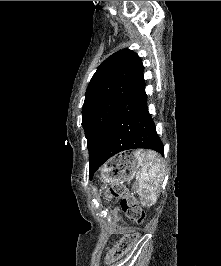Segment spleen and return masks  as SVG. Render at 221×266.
Segmentation results:
<instances>
[{"label": "spleen", "instance_id": "1", "mask_svg": "<svg viewBox=\"0 0 221 266\" xmlns=\"http://www.w3.org/2000/svg\"><path fill=\"white\" fill-rule=\"evenodd\" d=\"M134 155L141 166L137 176L138 194L141 200L149 199L164 179L165 168L159 156L153 151L137 150Z\"/></svg>", "mask_w": 221, "mask_h": 266}]
</instances>
